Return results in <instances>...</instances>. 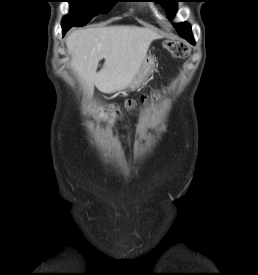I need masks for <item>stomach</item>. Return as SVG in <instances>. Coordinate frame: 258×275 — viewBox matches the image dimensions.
<instances>
[{
    "label": "stomach",
    "instance_id": "obj_1",
    "mask_svg": "<svg viewBox=\"0 0 258 275\" xmlns=\"http://www.w3.org/2000/svg\"><path fill=\"white\" fill-rule=\"evenodd\" d=\"M154 67V59L153 57L149 56L145 58L139 73L136 75V77L133 79V81L126 87L131 90H135L138 88L146 79L148 74L151 72V70Z\"/></svg>",
    "mask_w": 258,
    "mask_h": 275
}]
</instances>
